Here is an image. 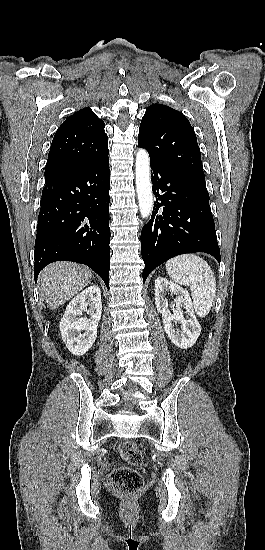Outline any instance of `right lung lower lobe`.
Listing matches in <instances>:
<instances>
[{
	"mask_svg": "<svg viewBox=\"0 0 265 550\" xmlns=\"http://www.w3.org/2000/svg\"><path fill=\"white\" fill-rule=\"evenodd\" d=\"M35 240V282L49 263L89 266L109 288L110 228L108 155L45 176Z\"/></svg>",
	"mask_w": 265,
	"mask_h": 550,
	"instance_id": "1",
	"label": "right lung lower lobe"
}]
</instances>
